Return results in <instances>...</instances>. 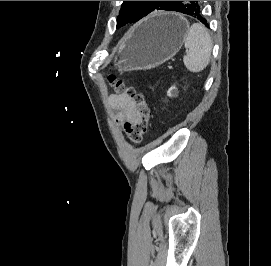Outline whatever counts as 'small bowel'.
Returning <instances> with one entry per match:
<instances>
[{"mask_svg": "<svg viewBox=\"0 0 271 266\" xmlns=\"http://www.w3.org/2000/svg\"><path fill=\"white\" fill-rule=\"evenodd\" d=\"M111 104L120 110L117 122H132L137 118L134 102L126 95H114L110 98Z\"/></svg>", "mask_w": 271, "mask_h": 266, "instance_id": "1", "label": "small bowel"}]
</instances>
